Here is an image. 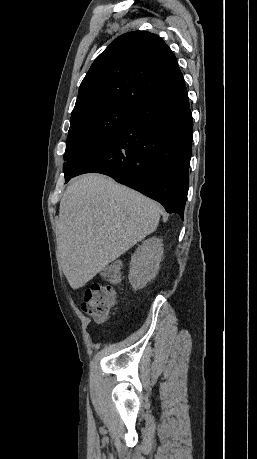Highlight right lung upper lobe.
I'll list each match as a JSON object with an SVG mask.
<instances>
[{"instance_id":"1","label":"right lung upper lobe","mask_w":257,"mask_h":459,"mask_svg":"<svg viewBox=\"0 0 257 459\" xmlns=\"http://www.w3.org/2000/svg\"><path fill=\"white\" fill-rule=\"evenodd\" d=\"M182 78L175 55L159 36L145 31L123 34L93 62L70 121L109 106L137 108Z\"/></svg>"}]
</instances>
